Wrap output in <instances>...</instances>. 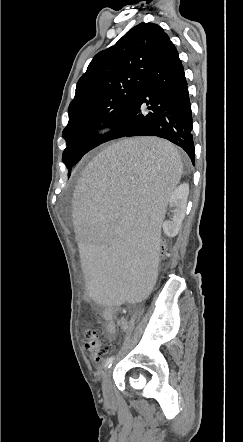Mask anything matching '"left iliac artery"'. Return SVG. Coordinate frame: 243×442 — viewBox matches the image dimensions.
Segmentation results:
<instances>
[{"label":"left iliac artery","instance_id":"1","mask_svg":"<svg viewBox=\"0 0 243 442\" xmlns=\"http://www.w3.org/2000/svg\"><path fill=\"white\" fill-rule=\"evenodd\" d=\"M121 324H122V328L124 329V328H125V320H124V318H122ZM114 359H115L114 356L109 357V358L105 361V365H104V367H105L106 369H107V368H110L111 365H112V363H113V361H114Z\"/></svg>","mask_w":243,"mask_h":442}]
</instances>
